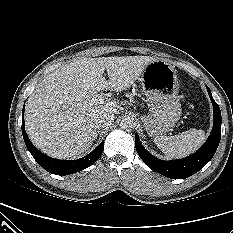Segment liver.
I'll list each match as a JSON object with an SVG mask.
<instances>
[{
  "mask_svg": "<svg viewBox=\"0 0 233 233\" xmlns=\"http://www.w3.org/2000/svg\"><path fill=\"white\" fill-rule=\"evenodd\" d=\"M154 60L150 56L81 58L47 75L25 108V127L31 141L54 158L80 156L95 140L93 117L123 110L116 101L99 104L92 98L99 91L129 88ZM105 69L108 80L103 76Z\"/></svg>",
  "mask_w": 233,
  "mask_h": 233,
  "instance_id": "obj_1",
  "label": "liver"
}]
</instances>
